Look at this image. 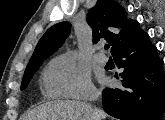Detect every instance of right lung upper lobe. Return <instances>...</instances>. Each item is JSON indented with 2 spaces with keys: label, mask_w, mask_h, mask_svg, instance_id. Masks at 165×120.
I'll use <instances>...</instances> for the list:
<instances>
[{
  "label": "right lung upper lobe",
  "mask_w": 165,
  "mask_h": 120,
  "mask_svg": "<svg viewBox=\"0 0 165 120\" xmlns=\"http://www.w3.org/2000/svg\"><path fill=\"white\" fill-rule=\"evenodd\" d=\"M88 23L93 29V43L101 39L107 40L112 46V55L144 33L139 23L128 20L125 9L113 0H98L89 10ZM70 28L71 24L67 21L50 27L39 40L28 66L57 51L70 34Z\"/></svg>",
  "instance_id": "right-lung-upper-lobe-1"
}]
</instances>
